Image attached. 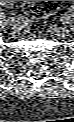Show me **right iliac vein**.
Here are the masks:
<instances>
[{
	"label": "right iliac vein",
	"mask_w": 74,
	"mask_h": 122,
	"mask_svg": "<svg viewBox=\"0 0 74 122\" xmlns=\"http://www.w3.org/2000/svg\"><path fill=\"white\" fill-rule=\"evenodd\" d=\"M12 30L14 31V32H16L17 31V24H12Z\"/></svg>",
	"instance_id": "obj_1"
}]
</instances>
